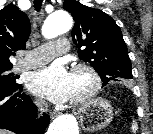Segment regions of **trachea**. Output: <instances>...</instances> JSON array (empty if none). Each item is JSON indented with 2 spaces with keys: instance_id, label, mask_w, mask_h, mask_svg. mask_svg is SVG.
I'll use <instances>...</instances> for the list:
<instances>
[{
  "instance_id": "trachea-1",
  "label": "trachea",
  "mask_w": 153,
  "mask_h": 134,
  "mask_svg": "<svg viewBox=\"0 0 153 134\" xmlns=\"http://www.w3.org/2000/svg\"><path fill=\"white\" fill-rule=\"evenodd\" d=\"M43 0H34V7L37 11L40 10Z\"/></svg>"
}]
</instances>
